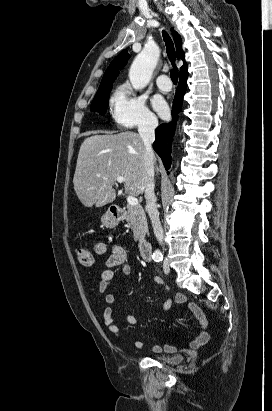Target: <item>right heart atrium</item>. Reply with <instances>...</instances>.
<instances>
[{"instance_id":"right-heart-atrium-1","label":"right heart atrium","mask_w":272,"mask_h":411,"mask_svg":"<svg viewBox=\"0 0 272 411\" xmlns=\"http://www.w3.org/2000/svg\"><path fill=\"white\" fill-rule=\"evenodd\" d=\"M109 113L113 123L121 128H153L155 115L148 109L143 97L127 84L118 86L109 99Z\"/></svg>"}]
</instances>
